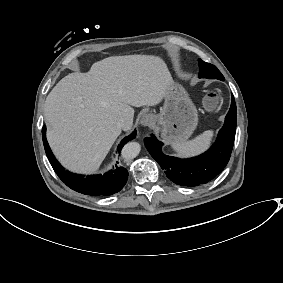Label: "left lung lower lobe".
Returning a JSON list of instances; mask_svg holds the SVG:
<instances>
[{
    "instance_id": "left-lung-lower-lobe-1",
    "label": "left lung lower lobe",
    "mask_w": 283,
    "mask_h": 283,
    "mask_svg": "<svg viewBox=\"0 0 283 283\" xmlns=\"http://www.w3.org/2000/svg\"><path fill=\"white\" fill-rule=\"evenodd\" d=\"M236 104L232 95L231 107L216 142L205 153L189 159H179L162 153V143L154 135L144 139L151 156L164 170L167 178L181 186H198L215 178L227 165L236 132Z\"/></svg>"
}]
</instances>
